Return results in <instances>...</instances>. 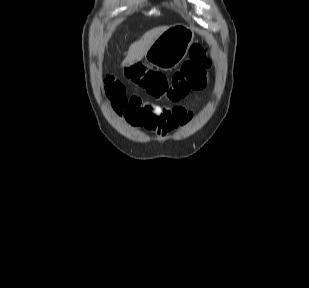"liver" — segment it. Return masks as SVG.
<instances>
[{
    "label": "liver",
    "instance_id": "6515ba94",
    "mask_svg": "<svg viewBox=\"0 0 309 288\" xmlns=\"http://www.w3.org/2000/svg\"><path fill=\"white\" fill-rule=\"evenodd\" d=\"M168 28V26H162L146 32L139 41L134 42L129 47L127 56L122 65L129 66L140 61L145 56L153 42Z\"/></svg>",
    "mask_w": 309,
    "mask_h": 288
}]
</instances>
